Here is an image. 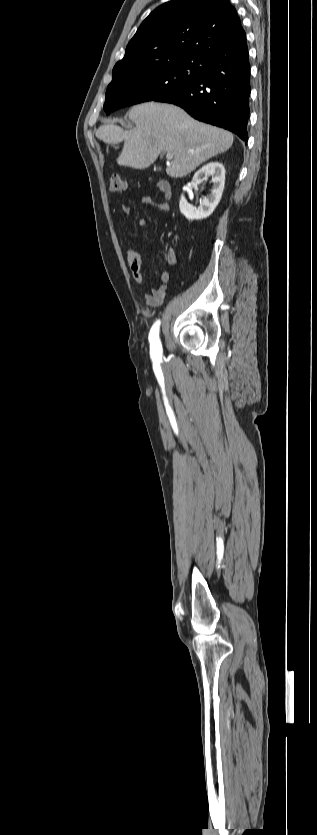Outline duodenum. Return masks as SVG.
Here are the masks:
<instances>
[{
  "mask_svg": "<svg viewBox=\"0 0 317 835\" xmlns=\"http://www.w3.org/2000/svg\"><path fill=\"white\" fill-rule=\"evenodd\" d=\"M166 187L168 190H171L170 185L168 183H166Z\"/></svg>",
  "mask_w": 317,
  "mask_h": 835,
  "instance_id": "obj_1",
  "label": "duodenum"
}]
</instances>
